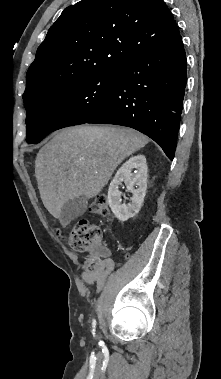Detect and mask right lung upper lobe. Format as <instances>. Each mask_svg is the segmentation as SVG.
Returning a JSON list of instances; mask_svg holds the SVG:
<instances>
[{
    "label": "right lung upper lobe",
    "mask_w": 221,
    "mask_h": 379,
    "mask_svg": "<svg viewBox=\"0 0 221 379\" xmlns=\"http://www.w3.org/2000/svg\"><path fill=\"white\" fill-rule=\"evenodd\" d=\"M178 34L163 0H82L64 9L38 47L24 103L75 78L118 69Z\"/></svg>",
    "instance_id": "cb5924a9"
}]
</instances>
